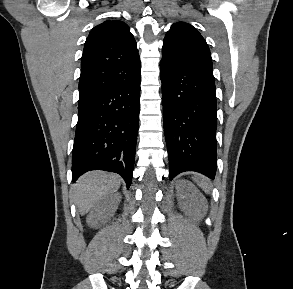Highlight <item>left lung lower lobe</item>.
<instances>
[{
	"label": "left lung lower lobe",
	"instance_id": "obj_1",
	"mask_svg": "<svg viewBox=\"0 0 293 289\" xmlns=\"http://www.w3.org/2000/svg\"><path fill=\"white\" fill-rule=\"evenodd\" d=\"M170 179L196 171L216 174V95L213 72L160 62Z\"/></svg>",
	"mask_w": 293,
	"mask_h": 289
}]
</instances>
